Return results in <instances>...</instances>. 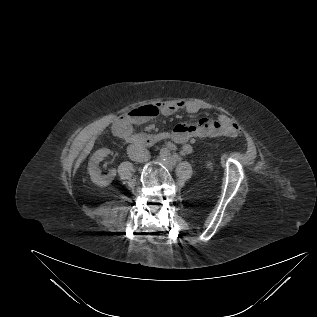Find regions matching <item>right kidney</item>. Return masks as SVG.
Here are the masks:
<instances>
[{
	"label": "right kidney",
	"mask_w": 317,
	"mask_h": 317,
	"mask_svg": "<svg viewBox=\"0 0 317 317\" xmlns=\"http://www.w3.org/2000/svg\"><path fill=\"white\" fill-rule=\"evenodd\" d=\"M110 153L109 149L101 148L93 153L88 163V173L91 181L102 187L109 185L116 176V170L112 169L107 175H102L99 169V163Z\"/></svg>",
	"instance_id": "1"
}]
</instances>
